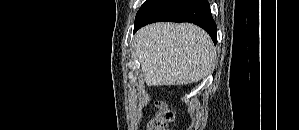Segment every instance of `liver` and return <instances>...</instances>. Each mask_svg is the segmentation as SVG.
<instances>
[{
  "mask_svg": "<svg viewBox=\"0 0 299 130\" xmlns=\"http://www.w3.org/2000/svg\"><path fill=\"white\" fill-rule=\"evenodd\" d=\"M134 49L149 86L186 85L207 77L215 62L209 35L193 24L155 23L140 29Z\"/></svg>",
  "mask_w": 299,
  "mask_h": 130,
  "instance_id": "liver-1",
  "label": "liver"
}]
</instances>
